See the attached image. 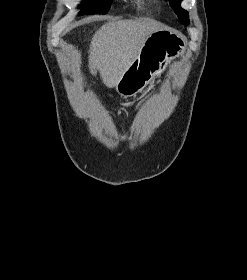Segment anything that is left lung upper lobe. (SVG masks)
I'll list each match as a JSON object with an SVG mask.
<instances>
[{"label": "left lung upper lobe", "instance_id": "1", "mask_svg": "<svg viewBox=\"0 0 247 280\" xmlns=\"http://www.w3.org/2000/svg\"><path fill=\"white\" fill-rule=\"evenodd\" d=\"M170 1H172V4H173L172 8L175 11V13L177 14V16L179 17V19L183 23L187 24L189 22L188 13L186 10H184L180 7V2L182 0H170Z\"/></svg>", "mask_w": 247, "mask_h": 280}]
</instances>
